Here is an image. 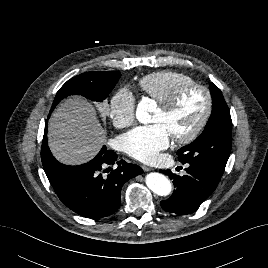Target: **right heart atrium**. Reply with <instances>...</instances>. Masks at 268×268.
I'll return each mask as SVG.
<instances>
[{
    "mask_svg": "<svg viewBox=\"0 0 268 268\" xmlns=\"http://www.w3.org/2000/svg\"><path fill=\"white\" fill-rule=\"evenodd\" d=\"M136 98L127 87L119 88L109 101L108 115L117 127H128L135 122Z\"/></svg>",
    "mask_w": 268,
    "mask_h": 268,
    "instance_id": "1",
    "label": "right heart atrium"
}]
</instances>
